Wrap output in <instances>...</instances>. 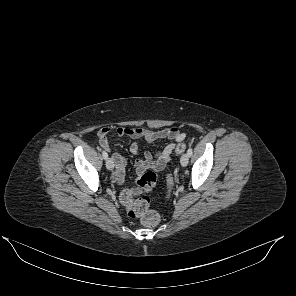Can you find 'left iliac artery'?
<instances>
[{
	"label": "left iliac artery",
	"mask_w": 296,
	"mask_h": 296,
	"mask_svg": "<svg viewBox=\"0 0 296 296\" xmlns=\"http://www.w3.org/2000/svg\"><path fill=\"white\" fill-rule=\"evenodd\" d=\"M192 153H193V152H192V148H189L188 151H187V154H188L189 156H191Z\"/></svg>",
	"instance_id": "44dca946"
}]
</instances>
